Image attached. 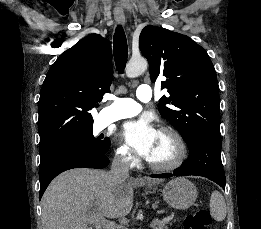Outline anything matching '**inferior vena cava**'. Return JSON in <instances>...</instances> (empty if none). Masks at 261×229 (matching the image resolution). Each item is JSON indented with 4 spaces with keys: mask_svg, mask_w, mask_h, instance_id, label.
<instances>
[{
    "mask_svg": "<svg viewBox=\"0 0 261 229\" xmlns=\"http://www.w3.org/2000/svg\"><path fill=\"white\" fill-rule=\"evenodd\" d=\"M129 161L122 155V157H114L111 165L110 175L115 177L117 181L121 179H128L129 175Z\"/></svg>",
    "mask_w": 261,
    "mask_h": 229,
    "instance_id": "1",
    "label": "inferior vena cava"
}]
</instances>
